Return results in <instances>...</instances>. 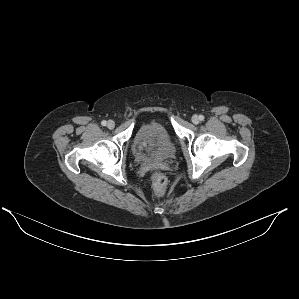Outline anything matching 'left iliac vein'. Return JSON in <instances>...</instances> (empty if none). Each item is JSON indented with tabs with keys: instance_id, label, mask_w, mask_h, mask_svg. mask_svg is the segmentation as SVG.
<instances>
[{
	"instance_id": "4c4485c4",
	"label": "left iliac vein",
	"mask_w": 299,
	"mask_h": 299,
	"mask_svg": "<svg viewBox=\"0 0 299 299\" xmlns=\"http://www.w3.org/2000/svg\"><path fill=\"white\" fill-rule=\"evenodd\" d=\"M192 122H193L194 124H198V123H199V117H198L197 115H194V116L192 117Z\"/></svg>"
}]
</instances>
